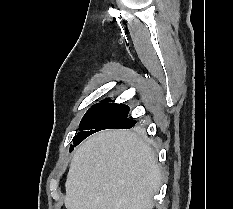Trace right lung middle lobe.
<instances>
[{"mask_svg": "<svg viewBox=\"0 0 233 209\" xmlns=\"http://www.w3.org/2000/svg\"><path fill=\"white\" fill-rule=\"evenodd\" d=\"M129 107L116 103H101L93 105L82 118L79 132L73 138L74 146L88 135L102 129L114 126H126L131 128L135 121L127 117ZM73 146H71V151Z\"/></svg>", "mask_w": 233, "mask_h": 209, "instance_id": "right-lung-middle-lobe-1", "label": "right lung middle lobe"}]
</instances>
